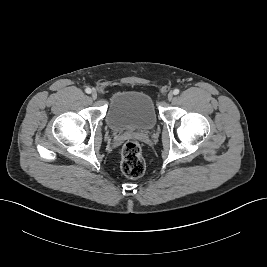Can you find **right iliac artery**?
I'll use <instances>...</instances> for the list:
<instances>
[{"instance_id":"1","label":"right iliac artery","mask_w":267,"mask_h":267,"mask_svg":"<svg viewBox=\"0 0 267 267\" xmlns=\"http://www.w3.org/2000/svg\"><path fill=\"white\" fill-rule=\"evenodd\" d=\"M85 92L88 93V94H90L91 93V89L90 88H86L85 89Z\"/></svg>"}]
</instances>
